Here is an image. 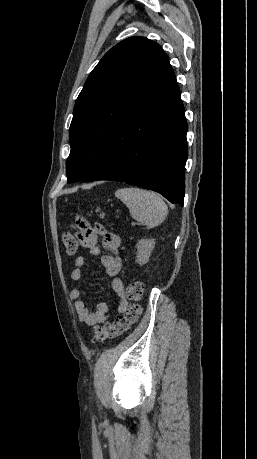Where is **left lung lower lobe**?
<instances>
[{"mask_svg": "<svg viewBox=\"0 0 257 459\" xmlns=\"http://www.w3.org/2000/svg\"><path fill=\"white\" fill-rule=\"evenodd\" d=\"M187 122L168 59L117 126L95 181L126 182L183 205Z\"/></svg>", "mask_w": 257, "mask_h": 459, "instance_id": "obj_1", "label": "left lung lower lobe"}]
</instances>
